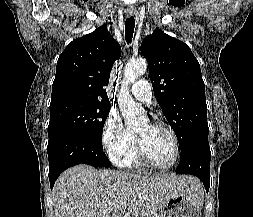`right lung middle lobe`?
<instances>
[{"label":"right lung middle lobe","mask_w":253,"mask_h":217,"mask_svg":"<svg viewBox=\"0 0 253 217\" xmlns=\"http://www.w3.org/2000/svg\"><path fill=\"white\" fill-rule=\"evenodd\" d=\"M110 112V103L67 99L50 104L49 138L63 132L88 136L102 145V131Z\"/></svg>","instance_id":"right-lung-middle-lobe-1"}]
</instances>
